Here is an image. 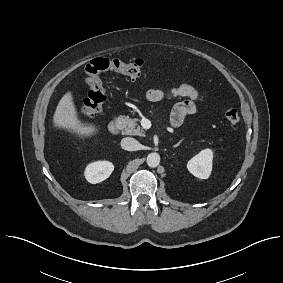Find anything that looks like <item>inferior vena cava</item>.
Returning a JSON list of instances; mask_svg holds the SVG:
<instances>
[{"instance_id":"1","label":"inferior vena cava","mask_w":283,"mask_h":283,"mask_svg":"<svg viewBox=\"0 0 283 283\" xmlns=\"http://www.w3.org/2000/svg\"><path fill=\"white\" fill-rule=\"evenodd\" d=\"M121 147L127 151H136L140 147V143L131 137H125L121 140Z\"/></svg>"}]
</instances>
